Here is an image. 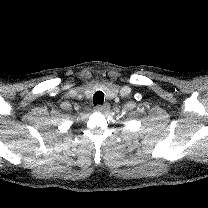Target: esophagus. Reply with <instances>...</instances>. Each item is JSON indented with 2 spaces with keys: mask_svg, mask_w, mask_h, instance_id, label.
<instances>
[{
  "mask_svg": "<svg viewBox=\"0 0 208 208\" xmlns=\"http://www.w3.org/2000/svg\"><path fill=\"white\" fill-rule=\"evenodd\" d=\"M110 109V104L109 103H104V104H101V105H97L95 107V110L98 111V112H104L106 110H109Z\"/></svg>",
  "mask_w": 208,
  "mask_h": 208,
  "instance_id": "34e87169",
  "label": "esophagus"
}]
</instances>
